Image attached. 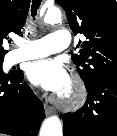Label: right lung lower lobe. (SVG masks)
Listing matches in <instances>:
<instances>
[{
    "label": "right lung lower lobe",
    "instance_id": "right-lung-lower-lobe-1",
    "mask_svg": "<svg viewBox=\"0 0 117 136\" xmlns=\"http://www.w3.org/2000/svg\"><path fill=\"white\" fill-rule=\"evenodd\" d=\"M22 78L20 70L0 77V133L37 136L44 107Z\"/></svg>",
    "mask_w": 117,
    "mask_h": 136
}]
</instances>
